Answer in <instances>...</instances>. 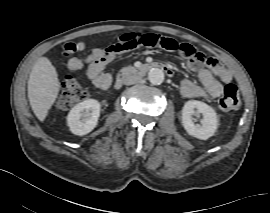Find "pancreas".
<instances>
[{"label":"pancreas","mask_w":270,"mask_h":213,"mask_svg":"<svg viewBox=\"0 0 270 213\" xmlns=\"http://www.w3.org/2000/svg\"><path fill=\"white\" fill-rule=\"evenodd\" d=\"M132 69V68H131ZM125 70H127L126 68L122 69L121 72H124Z\"/></svg>","instance_id":"obj_1"}]
</instances>
